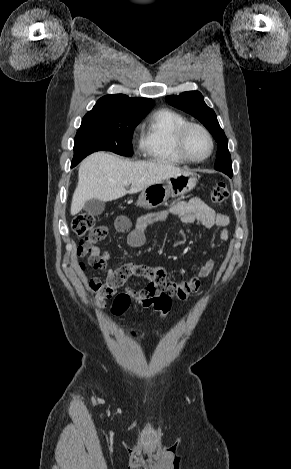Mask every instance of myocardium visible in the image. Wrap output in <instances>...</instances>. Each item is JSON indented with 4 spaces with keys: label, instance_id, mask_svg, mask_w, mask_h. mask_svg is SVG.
Returning a JSON list of instances; mask_svg holds the SVG:
<instances>
[{
    "label": "myocardium",
    "instance_id": "myocardium-1",
    "mask_svg": "<svg viewBox=\"0 0 291 469\" xmlns=\"http://www.w3.org/2000/svg\"><path fill=\"white\" fill-rule=\"evenodd\" d=\"M193 128H198L200 129L208 138L210 148L208 153L201 157V158H194L192 157L186 148V138L189 133V131ZM176 148L179 153V155L186 161L190 163H202L206 161L213 153L214 151V139L211 134V132L202 124L196 123V122H187L186 124L182 125L177 133H176Z\"/></svg>",
    "mask_w": 291,
    "mask_h": 469
}]
</instances>
